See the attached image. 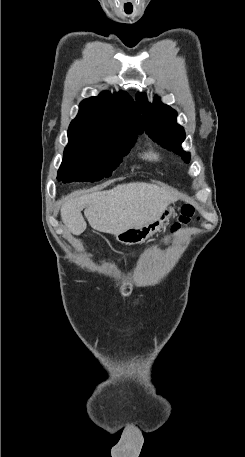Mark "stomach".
Here are the masks:
<instances>
[{
    "mask_svg": "<svg viewBox=\"0 0 245 457\" xmlns=\"http://www.w3.org/2000/svg\"><path fill=\"white\" fill-rule=\"evenodd\" d=\"M174 210V206L168 204L155 220L145 222L141 226H131V229H125L121 233H116V241L122 243V245H141V243H145L152 235L159 233L164 224H168L169 218L174 214Z\"/></svg>",
    "mask_w": 245,
    "mask_h": 457,
    "instance_id": "0dacf381",
    "label": "stomach"
}]
</instances>
